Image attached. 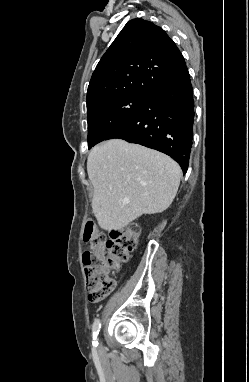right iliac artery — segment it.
Segmentation results:
<instances>
[{
    "mask_svg": "<svg viewBox=\"0 0 249 382\" xmlns=\"http://www.w3.org/2000/svg\"><path fill=\"white\" fill-rule=\"evenodd\" d=\"M101 328V323L99 319H96L93 323L92 332H93V346L96 347L98 345L97 336L99 334Z\"/></svg>",
    "mask_w": 249,
    "mask_h": 382,
    "instance_id": "right-iliac-artery-1",
    "label": "right iliac artery"
}]
</instances>
